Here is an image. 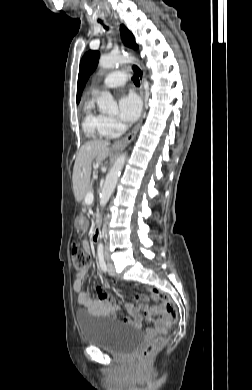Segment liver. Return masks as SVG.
Instances as JSON below:
<instances>
[{
  "label": "liver",
  "instance_id": "liver-1",
  "mask_svg": "<svg viewBox=\"0 0 252 390\" xmlns=\"http://www.w3.org/2000/svg\"><path fill=\"white\" fill-rule=\"evenodd\" d=\"M110 155L108 142L91 141L81 146L73 168V190L77 200L88 191L93 160L103 161Z\"/></svg>",
  "mask_w": 252,
  "mask_h": 390
}]
</instances>
